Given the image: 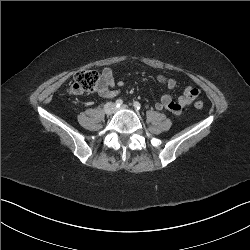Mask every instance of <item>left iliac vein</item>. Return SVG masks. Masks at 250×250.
<instances>
[{"instance_id": "left-iliac-vein-1", "label": "left iliac vein", "mask_w": 250, "mask_h": 250, "mask_svg": "<svg viewBox=\"0 0 250 250\" xmlns=\"http://www.w3.org/2000/svg\"><path fill=\"white\" fill-rule=\"evenodd\" d=\"M119 109H129L127 105H122Z\"/></svg>"}]
</instances>
